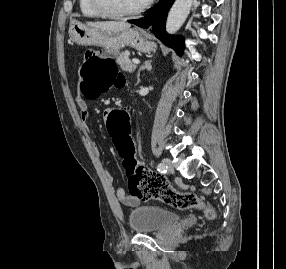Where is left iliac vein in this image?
<instances>
[{
    "mask_svg": "<svg viewBox=\"0 0 286 269\" xmlns=\"http://www.w3.org/2000/svg\"><path fill=\"white\" fill-rule=\"evenodd\" d=\"M162 164H164L165 166H167V171L169 172V173H174V167H173V164H172V162H171V160L170 159H168V158H164L163 160H162Z\"/></svg>",
    "mask_w": 286,
    "mask_h": 269,
    "instance_id": "4c4485c4",
    "label": "left iliac vein"
}]
</instances>
